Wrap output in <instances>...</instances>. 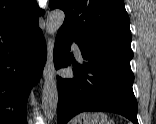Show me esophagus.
<instances>
[{"label": "esophagus", "mask_w": 156, "mask_h": 124, "mask_svg": "<svg viewBox=\"0 0 156 124\" xmlns=\"http://www.w3.org/2000/svg\"><path fill=\"white\" fill-rule=\"evenodd\" d=\"M53 47L54 41L52 38H49L47 43V60L43 70V78L45 80L53 73Z\"/></svg>", "instance_id": "34e87169"}]
</instances>
